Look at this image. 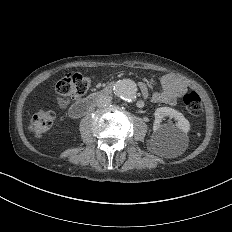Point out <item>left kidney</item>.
I'll return each mask as SVG.
<instances>
[{
  "label": "left kidney",
  "mask_w": 232,
  "mask_h": 232,
  "mask_svg": "<svg viewBox=\"0 0 232 232\" xmlns=\"http://www.w3.org/2000/svg\"><path fill=\"white\" fill-rule=\"evenodd\" d=\"M154 116L150 146L168 149L181 148L188 144L189 122L181 112L171 107H160L156 109ZM166 116L173 118L175 124L162 125L161 121Z\"/></svg>",
  "instance_id": "left-kidney-1"
}]
</instances>
